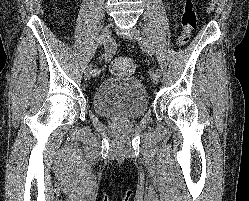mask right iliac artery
Returning <instances> with one entry per match:
<instances>
[{
	"label": "right iliac artery",
	"instance_id": "1",
	"mask_svg": "<svg viewBox=\"0 0 249 201\" xmlns=\"http://www.w3.org/2000/svg\"><path fill=\"white\" fill-rule=\"evenodd\" d=\"M112 46L109 45L108 43L104 45V51H105V59L108 60L111 57L112 54ZM101 70L99 68H95L92 70V75L97 76L99 75Z\"/></svg>",
	"mask_w": 249,
	"mask_h": 201
}]
</instances>
